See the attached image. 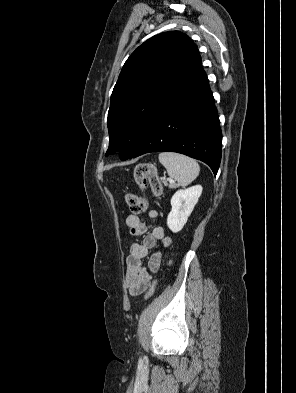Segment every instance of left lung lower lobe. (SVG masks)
<instances>
[{
	"label": "left lung lower lobe",
	"instance_id": "left-lung-lower-lobe-1",
	"mask_svg": "<svg viewBox=\"0 0 296 393\" xmlns=\"http://www.w3.org/2000/svg\"><path fill=\"white\" fill-rule=\"evenodd\" d=\"M222 133L203 69L167 105L129 158L150 152H177L205 162L216 175Z\"/></svg>",
	"mask_w": 296,
	"mask_h": 393
}]
</instances>
